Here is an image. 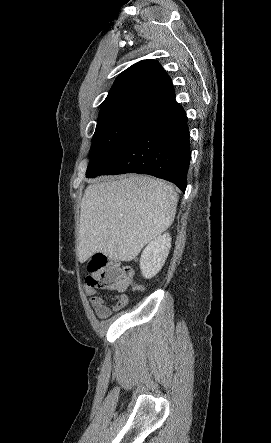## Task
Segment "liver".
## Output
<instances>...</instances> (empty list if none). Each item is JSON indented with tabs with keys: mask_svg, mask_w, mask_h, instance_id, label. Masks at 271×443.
Instances as JSON below:
<instances>
[{
	"mask_svg": "<svg viewBox=\"0 0 271 443\" xmlns=\"http://www.w3.org/2000/svg\"><path fill=\"white\" fill-rule=\"evenodd\" d=\"M179 196L148 176H115L87 186L81 202L78 257L96 251L131 261L174 222Z\"/></svg>",
	"mask_w": 271,
	"mask_h": 443,
	"instance_id": "liver-1",
	"label": "liver"
}]
</instances>
